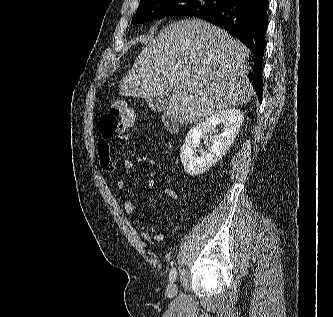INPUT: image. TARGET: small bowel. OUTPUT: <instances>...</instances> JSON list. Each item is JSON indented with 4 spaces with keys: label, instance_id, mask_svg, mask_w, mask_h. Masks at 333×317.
<instances>
[{
    "label": "small bowel",
    "instance_id": "small-bowel-1",
    "mask_svg": "<svg viewBox=\"0 0 333 317\" xmlns=\"http://www.w3.org/2000/svg\"><path fill=\"white\" fill-rule=\"evenodd\" d=\"M119 139L121 141H128L130 140V135L128 134H122L119 136ZM97 155L100 167L109 172L114 173L115 172V166L111 158V149L110 145L107 140H99L97 144ZM135 161L133 158H126L123 162V167L126 171H131L134 167ZM117 189L121 196L122 206L124 213L130 217L133 218L135 215V209L132 201L130 200L127 192H126V182L124 179L119 178L116 182ZM165 194L169 199H171L174 203H178V194L176 190H174L172 187H166L165 188ZM139 237L147 242H160L164 239L165 234L164 233H156L151 234L147 231H140L138 233Z\"/></svg>",
    "mask_w": 333,
    "mask_h": 317
}]
</instances>
